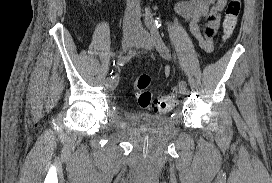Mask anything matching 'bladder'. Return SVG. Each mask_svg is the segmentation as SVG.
<instances>
[{
  "instance_id": "1",
  "label": "bladder",
  "mask_w": 272,
  "mask_h": 183,
  "mask_svg": "<svg viewBox=\"0 0 272 183\" xmlns=\"http://www.w3.org/2000/svg\"><path fill=\"white\" fill-rule=\"evenodd\" d=\"M125 119L128 126L138 128L149 133H158L169 124V118L165 116H155L149 113L126 112Z\"/></svg>"
}]
</instances>
